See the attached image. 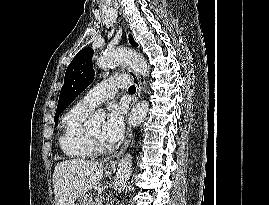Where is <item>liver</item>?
Here are the masks:
<instances>
[{
  "label": "liver",
  "instance_id": "liver-1",
  "mask_svg": "<svg viewBox=\"0 0 269 205\" xmlns=\"http://www.w3.org/2000/svg\"><path fill=\"white\" fill-rule=\"evenodd\" d=\"M103 171L101 162L83 159L59 162L53 173L55 205H74L79 196L99 185Z\"/></svg>",
  "mask_w": 269,
  "mask_h": 205
}]
</instances>
